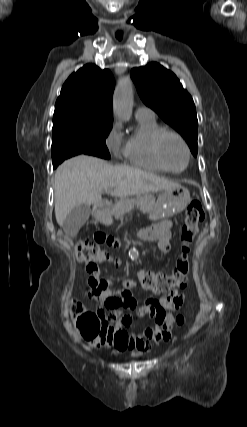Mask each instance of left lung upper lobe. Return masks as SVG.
Segmentation results:
<instances>
[{"instance_id": "obj_1", "label": "left lung upper lobe", "mask_w": 247, "mask_h": 427, "mask_svg": "<svg viewBox=\"0 0 247 427\" xmlns=\"http://www.w3.org/2000/svg\"><path fill=\"white\" fill-rule=\"evenodd\" d=\"M142 101L187 141L197 155L198 121L192 97L174 73L156 62L131 70Z\"/></svg>"}]
</instances>
